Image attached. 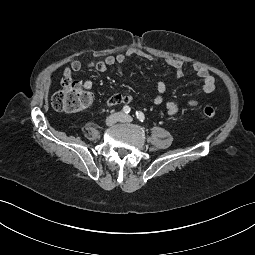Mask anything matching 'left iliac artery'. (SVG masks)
<instances>
[{
  "instance_id": "1",
  "label": "left iliac artery",
  "mask_w": 255,
  "mask_h": 255,
  "mask_svg": "<svg viewBox=\"0 0 255 255\" xmlns=\"http://www.w3.org/2000/svg\"><path fill=\"white\" fill-rule=\"evenodd\" d=\"M136 117L141 122H144V120H145V116L141 111H136Z\"/></svg>"
}]
</instances>
